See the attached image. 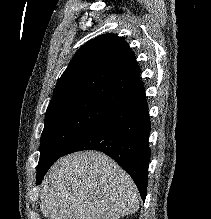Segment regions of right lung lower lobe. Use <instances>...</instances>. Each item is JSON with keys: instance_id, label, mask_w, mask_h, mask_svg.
Listing matches in <instances>:
<instances>
[{"instance_id": "1", "label": "right lung lower lobe", "mask_w": 211, "mask_h": 219, "mask_svg": "<svg viewBox=\"0 0 211 219\" xmlns=\"http://www.w3.org/2000/svg\"><path fill=\"white\" fill-rule=\"evenodd\" d=\"M145 91L118 105L77 138L62 156L81 150L102 151L134 180L145 200L148 184L151 130Z\"/></svg>"}]
</instances>
